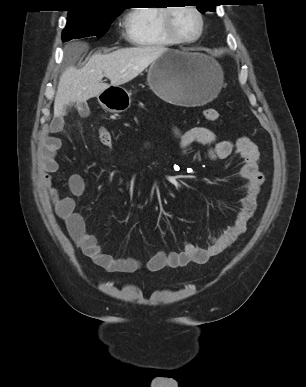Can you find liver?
Here are the masks:
<instances>
[{"label":"liver","instance_id":"liver-1","mask_svg":"<svg viewBox=\"0 0 306 387\" xmlns=\"http://www.w3.org/2000/svg\"><path fill=\"white\" fill-rule=\"evenodd\" d=\"M167 50L158 46L118 49L109 54H93L80 69L68 67L59 80L54 117L63 116L69 103H84L111 86L131 81ZM103 77L110 84L103 83Z\"/></svg>","mask_w":306,"mask_h":387}]
</instances>
